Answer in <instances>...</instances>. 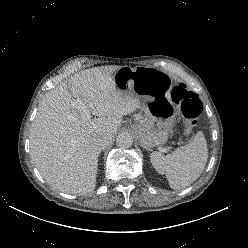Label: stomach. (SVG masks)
Wrapping results in <instances>:
<instances>
[{
  "label": "stomach",
  "instance_id": "1",
  "mask_svg": "<svg viewBox=\"0 0 248 248\" xmlns=\"http://www.w3.org/2000/svg\"><path fill=\"white\" fill-rule=\"evenodd\" d=\"M113 77L119 89L137 92L147 102L145 118L132 126L140 145L150 150L165 144L177 115L170 99L172 80L169 74L152 67L124 66Z\"/></svg>",
  "mask_w": 248,
  "mask_h": 248
}]
</instances>
